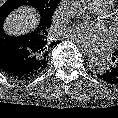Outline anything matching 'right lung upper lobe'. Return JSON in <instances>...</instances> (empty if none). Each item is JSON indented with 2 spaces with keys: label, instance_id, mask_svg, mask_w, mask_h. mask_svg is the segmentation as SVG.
<instances>
[{
  "label": "right lung upper lobe",
  "instance_id": "cb5924a9",
  "mask_svg": "<svg viewBox=\"0 0 118 118\" xmlns=\"http://www.w3.org/2000/svg\"><path fill=\"white\" fill-rule=\"evenodd\" d=\"M51 22L41 24L37 30L33 32V38L37 46L36 55V71L41 73L48 63V53L50 48L55 44V41L51 42L47 39V29L50 28Z\"/></svg>",
  "mask_w": 118,
  "mask_h": 118
}]
</instances>
